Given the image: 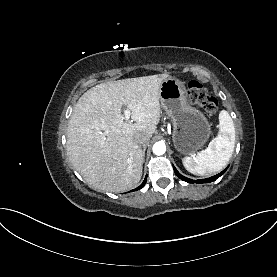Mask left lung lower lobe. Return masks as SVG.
I'll return each mask as SVG.
<instances>
[{
    "label": "left lung lower lobe",
    "instance_id": "1",
    "mask_svg": "<svg viewBox=\"0 0 277 277\" xmlns=\"http://www.w3.org/2000/svg\"><path fill=\"white\" fill-rule=\"evenodd\" d=\"M173 168H174V171H175V173H176V175L180 178V179H182L183 181H186V182H188V183H194V182H196V183H208V182H212V181H215L217 178H219L222 174H224V172L227 170V168L225 169V170H223L221 173H219V174H217V175H215V176H213V177H210V178H206V179H200V180H192V179H189V178H186V177H184L183 175H181L177 170H176V168L173 166Z\"/></svg>",
    "mask_w": 277,
    "mask_h": 277
}]
</instances>
